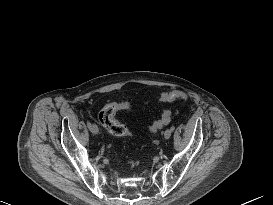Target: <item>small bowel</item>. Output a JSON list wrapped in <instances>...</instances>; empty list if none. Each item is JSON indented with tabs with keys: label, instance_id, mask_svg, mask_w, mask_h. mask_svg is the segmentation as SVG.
I'll list each match as a JSON object with an SVG mask.
<instances>
[{
	"label": "small bowel",
	"instance_id": "c3829d8e",
	"mask_svg": "<svg viewBox=\"0 0 273 205\" xmlns=\"http://www.w3.org/2000/svg\"><path fill=\"white\" fill-rule=\"evenodd\" d=\"M122 103L126 105V107L123 108L122 110H126V109H130L131 108V105L129 103H125V102H122Z\"/></svg>",
	"mask_w": 273,
	"mask_h": 205
}]
</instances>
